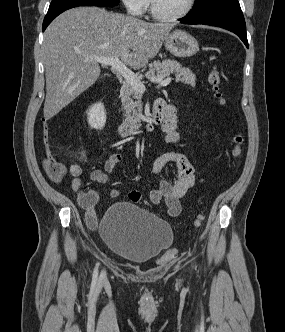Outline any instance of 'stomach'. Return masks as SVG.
Returning <instances> with one entry per match:
<instances>
[{
    "label": "stomach",
    "instance_id": "obj_1",
    "mask_svg": "<svg viewBox=\"0 0 285 332\" xmlns=\"http://www.w3.org/2000/svg\"><path fill=\"white\" fill-rule=\"evenodd\" d=\"M165 48L175 57H191L199 49L197 40L189 33L181 30L173 31L165 39Z\"/></svg>",
    "mask_w": 285,
    "mask_h": 332
}]
</instances>
